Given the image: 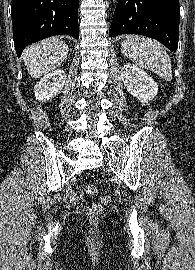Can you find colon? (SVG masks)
<instances>
[{
    "label": "colon",
    "instance_id": "colon-1",
    "mask_svg": "<svg viewBox=\"0 0 195 270\" xmlns=\"http://www.w3.org/2000/svg\"><path fill=\"white\" fill-rule=\"evenodd\" d=\"M96 191H97V189H96L95 186H87L84 189V193L89 194V195L95 194ZM79 199H80L79 195H74L73 196L74 201H77ZM101 202H102L103 205L108 206L111 203V198L109 196H104L102 198ZM101 213H102V207L99 206V205H93L87 210V215L92 219L98 218Z\"/></svg>",
    "mask_w": 195,
    "mask_h": 270
}]
</instances>
